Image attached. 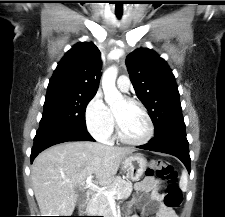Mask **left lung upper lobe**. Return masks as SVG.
Here are the masks:
<instances>
[{
  "label": "left lung upper lobe",
  "instance_id": "5c2ea615",
  "mask_svg": "<svg viewBox=\"0 0 225 217\" xmlns=\"http://www.w3.org/2000/svg\"><path fill=\"white\" fill-rule=\"evenodd\" d=\"M127 70L135 92L149 112L155 134L184 124L175 77L156 52L140 48L126 57Z\"/></svg>",
  "mask_w": 225,
  "mask_h": 217
}]
</instances>
